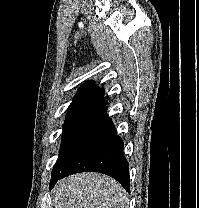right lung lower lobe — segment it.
Listing matches in <instances>:
<instances>
[{
    "mask_svg": "<svg viewBox=\"0 0 199 208\" xmlns=\"http://www.w3.org/2000/svg\"><path fill=\"white\" fill-rule=\"evenodd\" d=\"M106 110V107L101 109L72 159L51 178L50 189L59 179L68 175L93 171L115 178L126 191L130 192L129 164L123 155V140L117 135L111 119L106 115Z\"/></svg>",
    "mask_w": 199,
    "mask_h": 208,
    "instance_id": "obj_1",
    "label": "right lung lower lobe"
}]
</instances>
